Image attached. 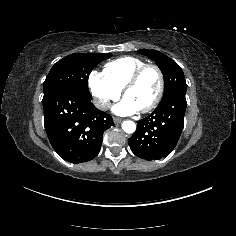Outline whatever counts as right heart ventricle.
<instances>
[{"instance_id":"e07e8e85","label":"right heart ventricle","mask_w":236,"mask_h":236,"mask_svg":"<svg viewBox=\"0 0 236 236\" xmlns=\"http://www.w3.org/2000/svg\"><path fill=\"white\" fill-rule=\"evenodd\" d=\"M146 62L138 57L123 56L106 63L103 67V75L120 92L127 79Z\"/></svg>"}]
</instances>
